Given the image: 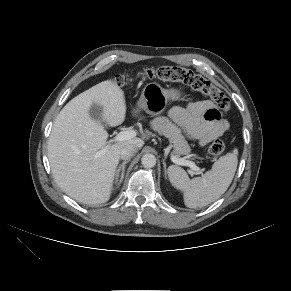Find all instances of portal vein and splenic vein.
Here are the masks:
<instances>
[{
    "label": "portal vein and splenic vein",
    "mask_w": 291,
    "mask_h": 291,
    "mask_svg": "<svg viewBox=\"0 0 291 291\" xmlns=\"http://www.w3.org/2000/svg\"><path fill=\"white\" fill-rule=\"evenodd\" d=\"M136 136V131L132 129L123 130L119 132L113 139L110 140V142H119L124 140H129L131 138H134ZM106 149L102 150L101 152L104 153ZM171 160L173 163L181 166H188L192 171H197L198 167L195 165L194 162L190 160H186L184 158H176L174 156L171 157Z\"/></svg>",
    "instance_id": "1"
}]
</instances>
